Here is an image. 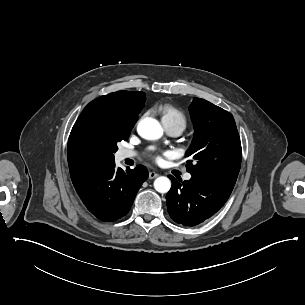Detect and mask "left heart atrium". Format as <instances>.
<instances>
[{
  "label": "left heart atrium",
  "instance_id": "obj_1",
  "mask_svg": "<svg viewBox=\"0 0 305 305\" xmlns=\"http://www.w3.org/2000/svg\"><path fill=\"white\" fill-rule=\"evenodd\" d=\"M166 154H167V155H169V154H170V152H166ZM157 160H159V158H157Z\"/></svg>",
  "mask_w": 305,
  "mask_h": 305
}]
</instances>
